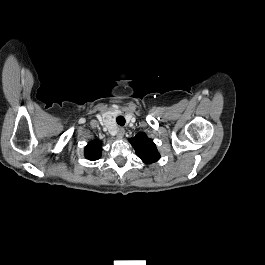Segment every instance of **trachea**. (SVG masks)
I'll list each match as a JSON object with an SVG mask.
<instances>
[{
    "mask_svg": "<svg viewBox=\"0 0 265 265\" xmlns=\"http://www.w3.org/2000/svg\"><path fill=\"white\" fill-rule=\"evenodd\" d=\"M116 122H117L118 125L124 126V124H125V118L123 116H118L116 118Z\"/></svg>",
    "mask_w": 265,
    "mask_h": 265,
    "instance_id": "trachea-1",
    "label": "trachea"
}]
</instances>
